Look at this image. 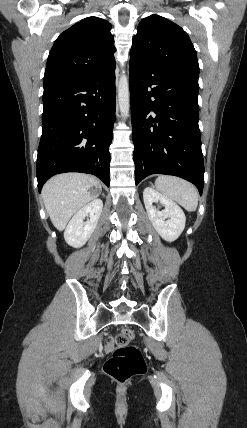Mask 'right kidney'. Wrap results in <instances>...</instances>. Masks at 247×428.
Here are the masks:
<instances>
[{"instance_id": "obj_1", "label": "right kidney", "mask_w": 247, "mask_h": 428, "mask_svg": "<svg viewBox=\"0 0 247 428\" xmlns=\"http://www.w3.org/2000/svg\"><path fill=\"white\" fill-rule=\"evenodd\" d=\"M103 208L101 199H93L70 220L64 232L66 243L74 248L82 247L94 232ZM89 215L90 219L84 222Z\"/></svg>"}]
</instances>
